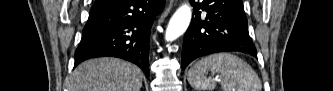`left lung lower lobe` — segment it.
<instances>
[{
  "label": "left lung lower lobe",
  "instance_id": "0a47b994",
  "mask_svg": "<svg viewBox=\"0 0 333 91\" xmlns=\"http://www.w3.org/2000/svg\"><path fill=\"white\" fill-rule=\"evenodd\" d=\"M198 1L190 0L194 16L184 36L182 69L198 57L217 52L239 51L257 57L242 0Z\"/></svg>",
  "mask_w": 333,
  "mask_h": 91
}]
</instances>
